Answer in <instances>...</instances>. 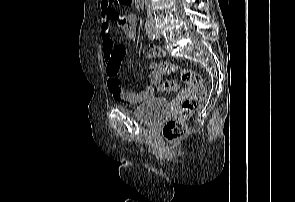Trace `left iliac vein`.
Masks as SVG:
<instances>
[{
  "instance_id": "4c4485c4",
  "label": "left iliac vein",
  "mask_w": 295,
  "mask_h": 202,
  "mask_svg": "<svg viewBox=\"0 0 295 202\" xmlns=\"http://www.w3.org/2000/svg\"><path fill=\"white\" fill-rule=\"evenodd\" d=\"M151 26H152V28H153V31H154L156 37L159 38V37H160V32L155 28V26H154L153 23H151Z\"/></svg>"
}]
</instances>
